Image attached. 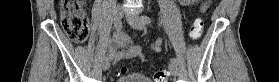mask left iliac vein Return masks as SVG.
Segmentation results:
<instances>
[{"label":"left iliac vein","mask_w":279,"mask_h":82,"mask_svg":"<svg viewBox=\"0 0 279 82\" xmlns=\"http://www.w3.org/2000/svg\"><path fill=\"white\" fill-rule=\"evenodd\" d=\"M126 18L128 23L135 29L142 30L145 26V22L141 20L138 14H128ZM169 71L175 77L179 75V69L175 63L169 64Z\"/></svg>","instance_id":"1"}]
</instances>
